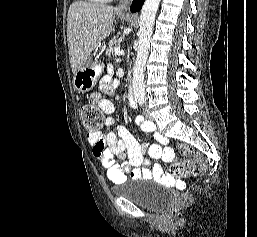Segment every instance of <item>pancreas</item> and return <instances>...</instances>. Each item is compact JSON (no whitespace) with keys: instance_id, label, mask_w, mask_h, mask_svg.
Returning <instances> with one entry per match:
<instances>
[{"instance_id":"cf45deb5","label":"pancreas","mask_w":257,"mask_h":237,"mask_svg":"<svg viewBox=\"0 0 257 237\" xmlns=\"http://www.w3.org/2000/svg\"><path fill=\"white\" fill-rule=\"evenodd\" d=\"M120 45L119 41L117 39H112L109 43V46L106 49V55L107 56H115V48H117Z\"/></svg>"}]
</instances>
